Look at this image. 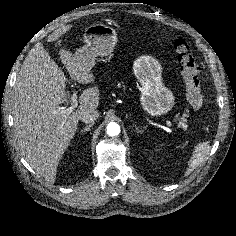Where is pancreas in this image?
<instances>
[{
	"mask_svg": "<svg viewBox=\"0 0 236 236\" xmlns=\"http://www.w3.org/2000/svg\"><path fill=\"white\" fill-rule=\"evenodd\" d=\"M182 121H183V122H186V118L183 117V118H182Z\"/></svg>",
	"mask_w": 236,
	"mask_h": 236,
	"instance_id": "obj_1",
	"label": "pancreas"
}]
</instances>
